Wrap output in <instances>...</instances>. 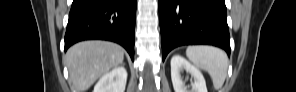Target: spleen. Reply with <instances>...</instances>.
<instances>
[{
	"label": "spleen",
	"instance_id": "3e777b00",
	"mask_svg": "<svg viewBox=\"0 0 296 92\" xmlns=\"http://www.w3.org/2000/svg\"><path fill=\"white\" fill-rule=\"evenodd\" d=\"M186 55L195 66L209 73L215 89L223 86L228 69V57L224 51L211 46H189Z\"/></svg>",
	"mask_w": 296,
	"mask_h": 92
}]
</instances>
